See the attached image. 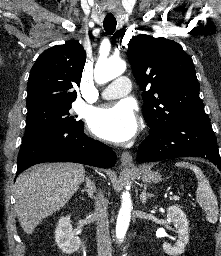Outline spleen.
<instances>
[{"label":"spleen","mask_w":221,"mask_h":256,"mask_svg":"<svg viewBox=\"0 0 221 256\" xmlns=\"http://www.w3.org/2000/svg\"><path fill=\"white\" fill-rule=\"evenodd\" d=\"M177 167H185L191 169L198 180V187L196 190V199L198 204L206 213V218L210 223H216L218 220L219 210L215 194L213 193L209 181L204 176L203 172L196 165L189 162H177Z\"/></svg>","instance_id":"3e777b00"}]
</instances>
